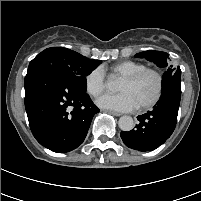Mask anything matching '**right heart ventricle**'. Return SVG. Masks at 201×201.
<instances>
[{"mask_svg": "<svg viewBox=\"0 0 201 201\" xmlns=\"http://www.w3.org/2000/svg\"><path fill=\"white\" fill-rule=\"evenodd\" d=\"M144 68H146V65L143 63L131 61V60H125V61H121L112 65L109 68V70L112 74H115L123 78L137 71H140ZM103 70L105 71L104 67H103Z\"/></svg>", "mask_w": 201, "mask_h": 201, "instance_id": "1", "label": "right heart ventricle"}]
</instances>
